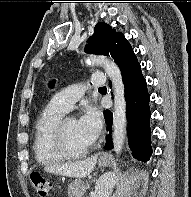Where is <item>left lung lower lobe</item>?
I'll list each match as a JSON object with an SVG mask.
<instances>
[{
    "instance_id": "1",
    "label": "left lung lower lobe",
    "mask_w": 191,
    "mask_h": 197,
    "mask_svg": "<svg viewBox=\"0 0 191 197\" xmlns=\"http://www.w3.org/2000/svg\"><path fill=\"white\" fill-rule=\"evenodd\" d=\"M125 85V99L127 104L128 136L133 157L146 162L149 160L151 149L150 130V96L147 91L146 80L138 66L132 70L122 72ZM105 121L109 128L112 126V113L108 110L104 112ZM108 135L105 149H112L113 144Z\"/></svg>"
}]
</instances>
